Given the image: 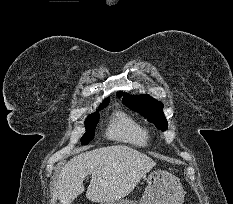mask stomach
I'll return each mask as SVG.
<instances>
[{
    "label": "stomach",
    "mask_w": 233,
    "mask_h": 204,
    "mask_svg": "<svg viewBox=\"0 0 233 204\" xmlns=\"http://www.w3.org/2000/svg\"><path fill=\"white\" fill-rule=\"evenodd\" d=\"M142 178L147 182V187L139 204H182L184 189L179 179L173 174L155 170L146 172ZM100 204H136L128 199L101 202Z\"/></svg>",
    "instance_id": "obj_1"
}]
</instances>
